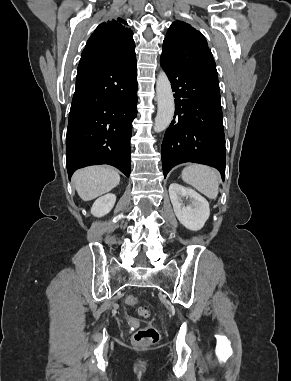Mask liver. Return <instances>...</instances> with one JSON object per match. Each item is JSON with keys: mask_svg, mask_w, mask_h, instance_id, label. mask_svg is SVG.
Wrapping results in <instances>:
<instances>
[{"mask_svg": "<svg viewBox=\"0 0 291 381\" xmlns=\"http://www.w3.org/2000/svg\"><path fill=\"white\" fill-rule=\"evenodd\" d=\"M72 179L80 198L90 201L115 188L120 175L109 167L92 166L76 171Z\"/></svg>", "mask_w": 291, "mask_h": 381, "instance_id": "liver-1", "label": "liver"}]
</instances>
